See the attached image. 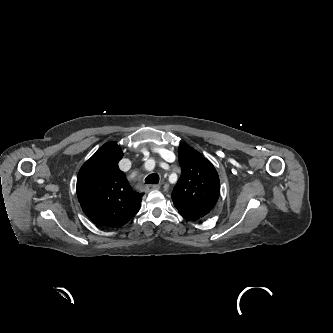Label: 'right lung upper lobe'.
<instances>
[{"mask_svg":"<svg viewBox=\"0 0 333 333\" xmlns=\"http://www.w3.org/2000/svg\"><path fill=\"white\" fill-rule=\"evenodd\" d=\"M122 157L121 148L108 142L78 173V200L83 212L97 225L121 227L140 209L143 194L131 189L125 174L119 170Z\"/></svg>","mask_w":333,"mask_h":333,"instance_id":"1","label":"right lung upper lobe"}]
</instances>
